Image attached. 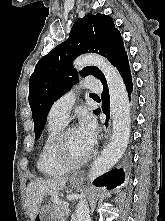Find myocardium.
Wrapping results in <instances>:
<instances>
[{
  "label": "myocardium",
  "mask_w": 165,
  "mask_h": 221,
  "mask_svg": "<svg viewBox=\"0 0 165 221\" xmlns=\"http://www.w3.org/2000/svg\"><path fill=\"white\" fill-rule=\"evenodd\" d=\"M74 129L77 128L73 125L64 126L63 129L57 135L54 144V156L56 161L58 162V164L68 169H75L85 165L91 160V158L94 155V148L92 147L88 154L80 160H73L69 156L66 148V140L68 134Z\"/></svg>",
  "instance_id": "1"
}]
</instances>
